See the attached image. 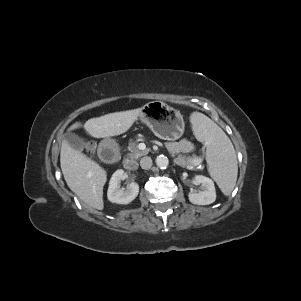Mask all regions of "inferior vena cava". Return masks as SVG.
Returning <instances> with one entry per match:
<instances>
[{
	"label": "inferior vena cava",
	"instance_id": "1",
	"mask_svg": "<svg viewBox=\"0 0 301 301\" xmlns=\"http://www.w3.org/2000/svg\"><path fill=\"white\" fill-rule=\"evenodd\" d=\"M140 166L142 169H150L151 166H152V159L148 156L146 157H143L141 160H140Z\"/></svg>",
	"mask_w": 301,
	"mask_h": 301
}]
</instances>
